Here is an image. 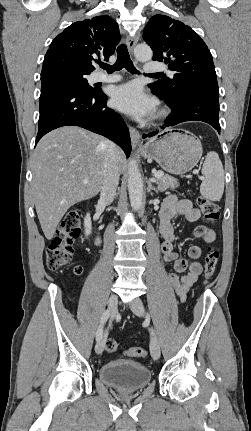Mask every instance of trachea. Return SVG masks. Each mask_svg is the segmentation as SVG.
<instances>
[{"mask_svg": "<svg viewBox=\"0 0 251 431\" xmlns=\"http://www.w3.org/2000/svg\"><path fill=\"white\" fill-rule=\"evenodd\" d=\"M117 61L114 65H109L105 63H99L100 67L106 70L108 73H113L114 71H119L122 68H125L130 73H137L136 68L133 65V62L130 59L129 52L127 50V46L125 44H121L117 48ZM160 73H156L154 75H158Z\"/></svg>", "mask_w": 251, "mask_h": 431, "instance_id": "obj_1", "label": "trachea"}]
</instances>
